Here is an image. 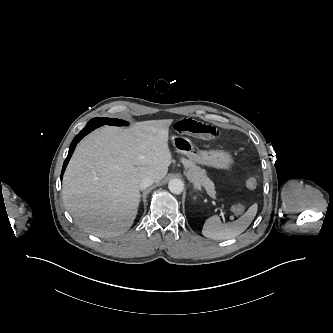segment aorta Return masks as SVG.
I'll list each match as a JSON object with an SVG mask.
<instances>
[{
  "label": "aorta",
  "instance_id": "aorta-1",
  "mask_svg": "<svg viewBox=\"0 0 333 333\" xmlns=\"http://www.w3.org/2000/svg\"><path fill=\"white\" fill-rule=\"evenodd\" d=\"M168 188L173 194H180L184 189V184L180 179H172L168 184Z\"/></svg>",
  "mask_w": 333,
  "mask_h": 333
}]
</instances>
